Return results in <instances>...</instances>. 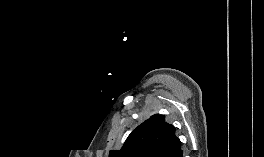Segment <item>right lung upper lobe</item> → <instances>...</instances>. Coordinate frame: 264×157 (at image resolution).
Wrapping results in <instances>:
<instances>
[{
    "mask_svg": "<svg viewBox=\"0 0 264 157\" xmlns=\"http://www.w3.org/2000/svg\"><path fill=\"white\" fill-rule=\"evenodd\" d=\"M181 142L175 127L155 114L134 129L121 150H112L109 157H182Z\"/></svg>",
    "mask_w": 264,
    "mask_h": 157,
    "instance_id": "obj_1",
    "label": "right lung upper lobe"
}]
</instances>
